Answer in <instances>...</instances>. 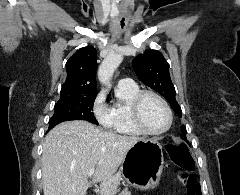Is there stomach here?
<instances>
[{
	"label": "stomach",
	"mask_w": 240,
	"mask_h": 195,
	"mask_svg": "<svg viewBox=\"0 0 240 195\" xmlns=\"http://www.w3.org/2000/svg\"><path fill=\"white\" fill-rule=\"evenodd\" d=\"M164 167L163 149L157 137H143L126 153L120 167L128 185L137 189L157 187Z\"/></svg>",
	"instance_id": "obj_1"
}]
</instances>
